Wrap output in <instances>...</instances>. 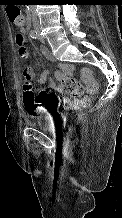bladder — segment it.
I'll return each instance as SVG.
<instances>
[{"instance_id": "1", "label": "bladder", "mask_w": 122, "mask_h": 218, "mask_svg": "<svg viewBox=\"0 0 122 218\" xmlns=\"http://www.w3.org/2000/svg\"><path fill=\"white\" fill-rule=\"evenodd\" d=\"M46 115L43 113H29L26 116V121L28 124L35 126L41 130H46L47 125L45 123Z\"/></svg>"}]
</instances>
